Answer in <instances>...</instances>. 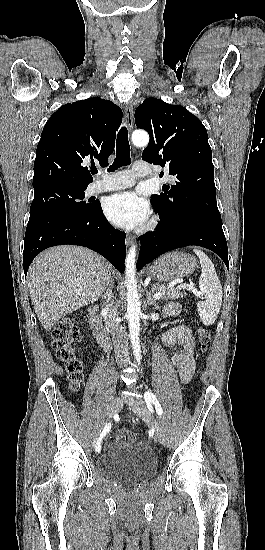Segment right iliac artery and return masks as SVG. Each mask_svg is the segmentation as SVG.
<instances>
[{
    "label": "right iliac artery",
    "mask_w": 265,
    "mask_h": 550,
    "mask_svg": "<svg viewBox=\"0 0 265 550\" xmlns=\"http://www.w3.org/2000/svg\"><path fill=\"white\" fill-rule=\"evenodd\" d=\"M111 429V423H108L105 425L102 433L100 434V437L99 439L97 440V443H96V446H95V450L97 452H100L101 450V442H102V438L105 437L107 435V433L110 431Z\"/></svg>",
    "instance_id": "82829eb1"
}]
</instances>
